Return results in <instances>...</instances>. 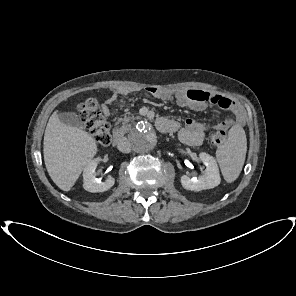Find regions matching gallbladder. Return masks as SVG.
<instances>
[{
  "label": "gallbladder",
  "instance_id": "gallbladder-1",
  "mask_svg": "<svg viewBox=\"0 0 296 296\" xmlns=\"http://www.w3.org/2000/svg\"><path fill=\"white\" fill-rule=\"evenodd\" d=\"M58 117L60 121L67 126H72L76 128H82L84 126L83 122L74 112H61L59 113Z\"/></svg>",
  "mask_w": 296,
  "mask_h": 296
}]
</instances>
